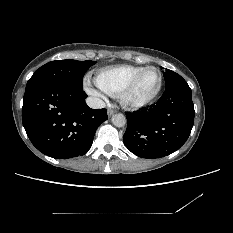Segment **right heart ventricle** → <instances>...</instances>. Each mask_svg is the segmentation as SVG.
<instances>
[{
	"instance_id": "obj_1",
	"label": "right heart ventricle",
	"mask_w": 233,
	"mask_h": 233,
	"mask_svg": "<svg viewBox=\"0 0 233 233\" xmlns=\"http://www.w3.org/2000/svg\"><path fill=\"white\" fill-rule=\"evenodd\" d=\"M143 68L142 66L118 65L100 70L96 75V84L104 93L119 97L127 82Z\"/></svg>"
}]
</instances>
